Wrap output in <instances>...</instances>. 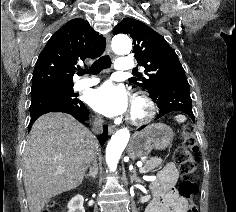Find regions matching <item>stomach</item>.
<instances>
[{
    "label": "stomach",
    "instance_id": "1",
    "mask_svg": "<svg viewBox=\"0 0 236 212\" xmlns=\"http://www.w3.org/2000/svg\"><path fill=\"white\" fill-rule=\"evenodd\" d=\"M174 137L173 130L166 124L155 123L134 134L128 153L137 158L151 152L152 149H166Z\"/></svg>",
    "mask_w": 236,
    "mask_h": 212
}]
</instances>
